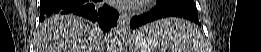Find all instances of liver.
Instances as JSON below:
<instances>
[{"label":"liver","instance_id":"6515ba94","mask_svg":"<svg viewBox=\"0 0 261 52\" xmlns=\"http://www.w3.org/2000/svg\"><path fill=\"white\" fill-rule=\"evenodd\" d=\"M102 32L75 15H55L40 24L35 36L36 52H102Z\"/></svg>","mask_w":261,"mask_h":52}]
</instances>
